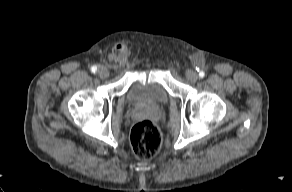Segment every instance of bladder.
<instances>
[{
  "instance_id": "obj_1",
  "label": "bladder",
  "mask_w": 292,
  "mask_h": 192,
  "mask_svg": "<svg viewBox=\"0 0 292 192\" xmlns=\"http://www.w3.org/2000/svg\"><path fill=\"white\" fill-rule=\"evenodd\" d=\"M129 105L142 107L165 106L170 100V94L159 79L134 81L125 94Z\"/></svg>"
}]
</instances>
